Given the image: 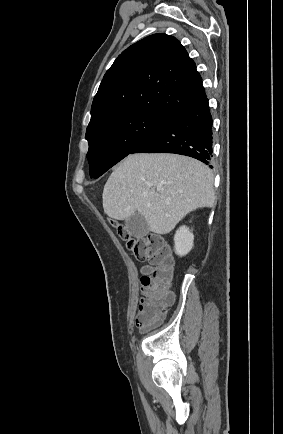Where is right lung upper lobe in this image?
<instances>
[{
    "label": "right lung upper lobe",
    "mask_w": 283,
    "mask_h": 434,
    "mask_svg": "<svg viewBox=\"0 0 283 434\" xmlns=\"http://www.w3.org/2000/svg\"><path fill=\"white\" fill-rule=\"evenodd\" d=\"M205 97L202 78L181 43L153 34L124 50L107 70L87 128L141 111L172 118Z\"/></svg>",
    "instance_id": "cb5924a9"
}]
</instances>
